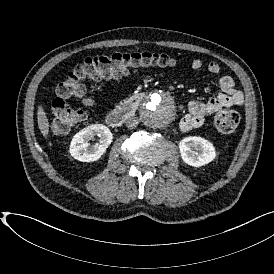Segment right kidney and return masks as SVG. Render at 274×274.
I'll return each mask as SVG.
<instances>
[{
	"label": "right kidney",
	"mask_w": 274,
	"mask_h": 274,
	"mask_svg": "<svg viewBox=\"0 0 274 274\" xmlns=\"http://www.w3.org/2000/svg\"><path fill=\"white\" fill-rule=\"evenodd\" d=\"M99 137V141L90 145L89 141ZM113 140V134L110 129L103 124L89 125L76 133L70 143L71 156L82 162H93L98 160L109 147Z\"/></svg>",
	"instance_id": "1"
}]
</instances>
